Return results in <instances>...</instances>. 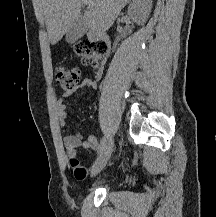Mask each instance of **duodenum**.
<instances>
[{
  "label": "duodenum",
  "instance_id": "duodenum-1",
  "mask_svg": "<svg viewBox=\"0 0 216 217\" xmlns=\"http://www.w3.org/2000/svg\"><path fill=\"white\" fill-rule=\"evenodd\" d=\"M88 38L91 41H95V42H104L105 44L109 43V38L107 34L103 32H99V31H95V30L88 31ZM105 59H106V56H104L102 60L104 61Z\"/></svg>",
  "mask_w": 216,
  "mask_h": 217
}]
</instances>
